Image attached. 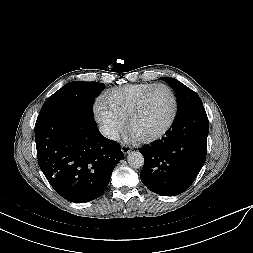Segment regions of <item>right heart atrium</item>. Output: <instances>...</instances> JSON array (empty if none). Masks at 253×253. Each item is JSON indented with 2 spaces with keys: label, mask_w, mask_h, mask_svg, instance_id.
<instances>
[{
  "label": "right heart atrium",
  "mask_w": 253,
  "mask_h": 253,
  "mask_svg": "<svg viewBox=\"0 0 253 253\" xmlns=\"http://www.w3.org/2000/svg\"><path fill=\"white\" fill-rule=\"evenodd\" d=\"M94 114L110 139H117L124 131V123L110 111L103 101L99 100L94 104Z\"/></svg>",
  "instance_id": "right-heart-atrium-1"
}]
</instances>
